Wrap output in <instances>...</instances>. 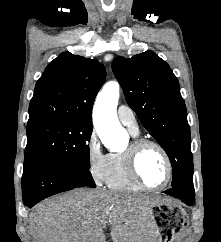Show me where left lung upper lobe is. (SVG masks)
<instances>
[{"label":"left lung upper lobe","mask_w":221,"mask_h":242,"mask_svg":"<svg viewBox=\"0 0 221 242\" xmlns=\"http://www.w3.org/2000/svg\"><path fill=\"white\" fill-rule=\"evenodd\" d=\"M112 68L128 105L169 156L172 187L193 180L186 106L169 65L148 50L129 59L116 57Z\"/></svg>","instance_id":"1"}]
</instances>
